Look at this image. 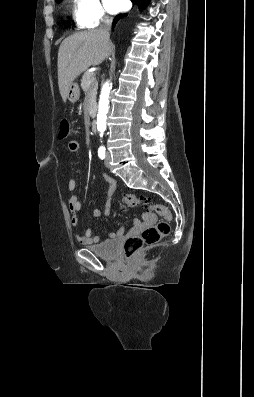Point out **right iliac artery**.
Masks as SVG:
<instances>
[{"instance_id": "obj_1", "label": "right iliac artery", "mask_w": 254, "mask_h": 397, "mask_svg": "<svg viewBox=\"0 0 254 397\" xmlns=\"http://www.w3.org/2000/svg\"><path fill=\"white\" fill-rule=\"evenodd\" d=\"M98 155H99V158H100V159H104L105 156H106V149L103 148V147H101V148L98 150Z\"/></svg>"}]
</instances>
